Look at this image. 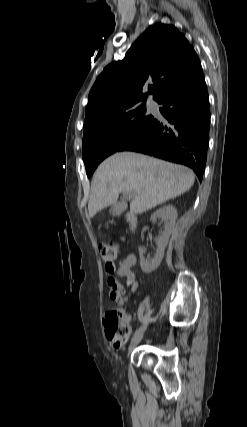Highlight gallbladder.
<instances>
[{
    "label": "gallbladder",
    "mask_w": 247,
    "mask_h": 427,
    "mask_svg": "<svg viewBox=\"0 0 247 427\" xmlns=\"http://www.w3.org/2000/svg\"><path fill=\"white\" fill-rule=\"evenodd\" d=\"M125 207L126 205L122 201L116 202L111 206L110 212L112 215H120L124 211Z\"/></svg>",
    "instance_id": "gallbladder-1"
}]
</instances>
